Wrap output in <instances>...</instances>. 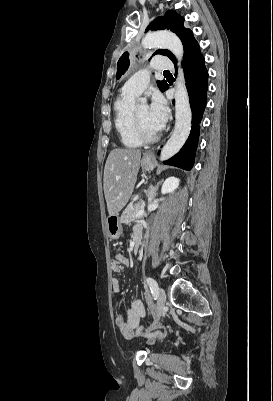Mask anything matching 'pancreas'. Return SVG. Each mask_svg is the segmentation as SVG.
<instances>
[{"instance_id":"obj_1","label":"pancreas","mask_w":273,"mask_h":401,"mask_svg":"<svg viewBox=\"0 0 273 401\" xmlns=\"http://www.w3.org/2000/svg\"><path fill=\"white\" fill-rule=\"evenodd\" d=\"M142 201H138V203H130L128 207H126L125 211H123L120 217V223H125V225H130L132 221H136V219H143V217H147V213H143L140 217H135L138 212V206L141 205Z\"/></svg>"}]
</instances>
